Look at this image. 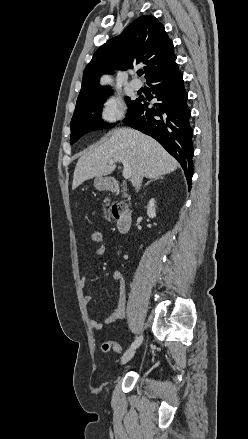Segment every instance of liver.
I'll return each instance as SVG.
<instances>
[{
  "label": "liver",
  "instance_id": "6515ba94",
  "mask_svg": "<svg viewBox=\"0 0 248 439\" xmlns=\"http://www.w3.org/2000/svg\"><path fill=\"white\" fill-rule=\"evenodd\" d=\"M124 159L131 167V182L140 177L159 178L173 172L178 162L153 138L130 128L110 131L103 142L83 154L75 167L72 189L84 181L112 173L110 160Z\"/></svg>",
  "mask_w": 248,
  "mask_h": 439
}]
</instances>
